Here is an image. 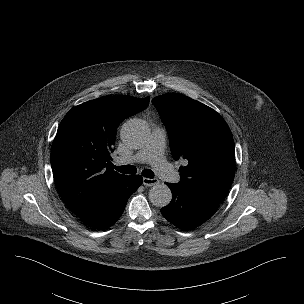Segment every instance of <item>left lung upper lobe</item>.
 Returning <instances> with one entry per match:
<instances>
[{"mask_svg": "<svg viewBox=\"0 0 304 304\" xmlns=\"http://www.w3.org/2000/svg\"><path fill=\"white\" fill-rule=\"evenodd\" d=\"M167 128L175 160L180 167L182 188L222 203L235 175V146L225 120L212 108L181 94L153 98Z\"/></svg>", "mask_w": 304, "mask_h": 304, "instance_id": "obj_1", "label": "left lung upper lobe"}]
</instances>
